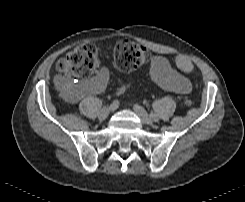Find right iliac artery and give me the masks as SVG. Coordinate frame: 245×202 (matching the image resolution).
I'll list each match as a JSON object with an SVG mask.
<instances>
[{
  "label": "right iliac artery",
  "instance_id": "right-iliac-artery-1",
  "mask_svg": "<svg viewBox=\"0 0 245 202\" xmlns=\"http://www.w3.org/2000/svg\"><path fill=\"white\" fill-rule=\"evenodd\" d=\"M119 105V101L118 100H114L111 104V108H112V111H114L115 109H117Z\"/></svg>",
  "mask_w": 245,
  "mask_h": 202
}]
</instances>
